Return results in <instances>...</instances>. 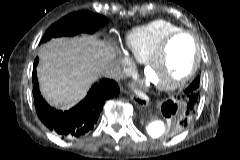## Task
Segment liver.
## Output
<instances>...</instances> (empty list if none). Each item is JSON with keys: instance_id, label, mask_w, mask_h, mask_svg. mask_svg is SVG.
I'll list each match as a JSON object with an SVG mask.
<instances>
[{"instance_id": "obj_1", "label": "liver", "mask_w": 240, "mask_h": 160, "mask_svg": "<svg viewBox=\"0 0 240 160\" xmlns=\"http://www.w3.org/2000/svg\"><path fill=\"white\" fill-rule=\"evenodd\" d=\"M38 55L40 90L50 105L61 109L77 104L100 69L112 64L115 57L109 43L87 35L51 40Z\"/></svg>"}]
</instances>
